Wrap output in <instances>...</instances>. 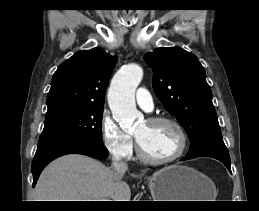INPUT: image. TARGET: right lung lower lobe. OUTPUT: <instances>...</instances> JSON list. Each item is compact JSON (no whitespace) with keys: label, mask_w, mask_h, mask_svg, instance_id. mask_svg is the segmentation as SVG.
<instances>
[{"label":"right lung lower lobe","mask_w":259,"mask_h":211,"mask_svg":"<svg viewBox=\"0 0 259 211\" xmlns=\"http://www.w3.org/2000/svg\"><path fill=\"white\" fill-rule=\"evenodd\" d=\"M71 153L83 154L96 159H105L108 156V150L103 144H95L81 139L63 138L38 143L32 162L33 187L47 164L57 157Z\"/></svg>","instance_id":"obj_1"}]
</instances>
